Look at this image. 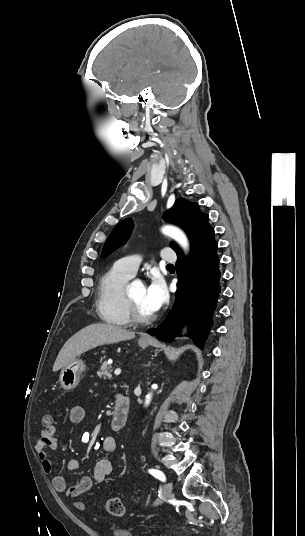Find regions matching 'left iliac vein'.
Wrapping results in <instances>:
<instances>
[{"label":"left iliac vein","mask_w":305,"mask_h":536,"mask_svg":"<svg viewBox=\"0 0 305 536\" xmlns=\"http://www.w3.org/2000/svg\"><path fill=\"white\" fill-rule=\"evenodd\" d=\"M172 489H173L172 485L170 483H166L164 492H163L164 498L168 499L172 497Z\"/></svg>","instance_id":"obj_1"}]
</instances>
